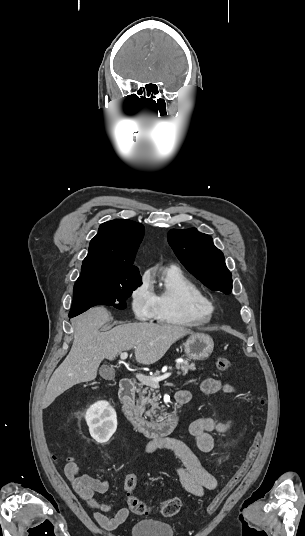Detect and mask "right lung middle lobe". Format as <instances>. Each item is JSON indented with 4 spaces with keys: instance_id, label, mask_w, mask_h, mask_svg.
Segmentation results:
<instances>
[{
    "instance_id": "dd1d6c3e",
    "label": "right lung middle lobe",
    "mask_w": 305,
    "mask_h": 536,
    "mask_svg": "<svg viewBox=\"0 0 305 536\" xmlns=\"http://www.w3.org/2000/svg\"><path fill=\"white\" fill-rule=\"evenodd\" d=\"M141 284V277H79L74 286L70 314L79 315L96 305H113L118 309H124L126 299Z\"/></svg>"
}]
</instances>
